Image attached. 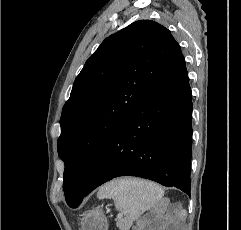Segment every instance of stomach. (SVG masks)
Returning <instances> with one entry per match:
<instances>
[{"label": "stomach", "instance_id": "stomach-1", "mask_svg": "<svg viewBox=\"0 0 241 230\" xmlns=\"http://www.w3.org/2000/svg\"><path fill=\"white\" fill-rule=\"evenodd\" d=\"M80 225L81 230H108V221L101 207L85 213Z\"/></svg>", "mask_w": 241, "mask_h": 230}]
</instances>
